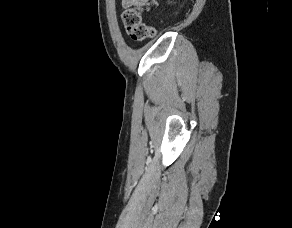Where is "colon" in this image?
Segmentation results:
<instances>
[{
	"instance_id": "5ec220e1",
	"label": "colon",
	"mask_w": 292,
	"mask_h": 228,
	"mask_svg": "<svg viewBox=\"0 0 292 228\" xmlns=\"http://www.w3.org/2000/svg\"><path fill=\"white\" fill-rule=\"evenodd\" d=\"M156 0H150L146 6L128 8L123 12L122 20L126 32L134 41H143L156 35V29L142 22V14L149 11Z\"/></svg>"
}]
</instances>
